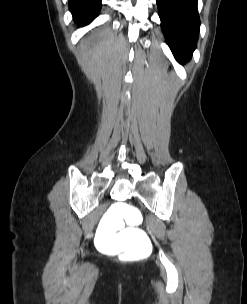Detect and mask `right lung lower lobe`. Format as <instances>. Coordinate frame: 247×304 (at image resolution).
<instances>
[{
	"mask_svg": "<svg viewBox=\"0 0 247 304\" xmlns=\"http://www.w3.org/2000/svg\"><path fill=\"white\" fill-rule=\"evenodd\" d=\"M101 8V0H69V10L80 25L89 24L95 19Z\"/></svg>",
	"mask_w": 247,
	"mask_h": 304,
	"instance_id": "98d812e1",
	"label": "right lung lower lobe"
}]
</instances>
